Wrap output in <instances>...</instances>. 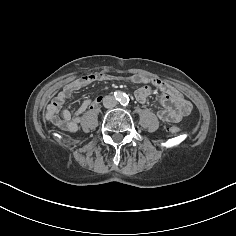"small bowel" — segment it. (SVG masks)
I'll return each mask as SVG.
<instances>
[{
  "label": "small bowel",
  "instance_id": "obj_1",
  "mask_svg": "<svg viewBox=\"0 0 236 236\" xmlns=\"http://www.w3.org/2000/svg\"><path fill=\"white\" fill-rule=\"evenodd\" d=\"M114 78L115 77L108 74L96 73L84 75L70 81L48 104L45 119L59 130L66 132L76 131L82 114L89 108L99 106L102 103L103 97L97 96L94 99L85 100L74 112H71L68 109H63L62 106L64 102L70 98L74 92L81 88L91 85L97 81H109ZM125 80L142 84V86L135 91V98L141 104H145L147 102V98L151 93V83L163 91L164 96L160 99L162 108L156 112L157 117L163 122H178L183 116L191 112L192 106L190 102L187 101L176 88L164 81H153L150 78L139 74L129 76L125 78Z\"/></svg>",
  "mask_w": 236,
  "mask_h": 236
}]
</instances>
